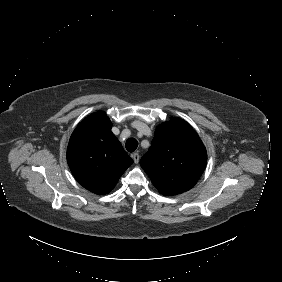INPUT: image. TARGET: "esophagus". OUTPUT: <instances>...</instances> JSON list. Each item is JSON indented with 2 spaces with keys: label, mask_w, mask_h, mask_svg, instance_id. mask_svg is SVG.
Masks as SVG:
<instances>
[{
  "label": "esophagus",
  "mask_w": 282,
  "mask_h": 282,
  "mask_svg": "<svg viewBox=\"0 0 282 282\" xmlns=\"http://www.w3.org/2000/svg\"><path fill=\"white\" fill-rule=\"evenodd\" d=\"M133 159H134V163H138L139 162V154L137 153V152H135L134 154H133Z\"/></svg>",
  "instance_id": "esophagus-1"
}]
</instances>
